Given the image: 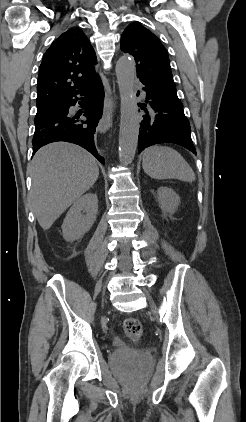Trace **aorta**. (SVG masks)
Masks as SVG:
<instances>
[{"label":"aorta","mask_w":246,"mask_h":422,"mask_svg":"<svg viewBox=\"0 0 246 422\" xmlns=\"http://www.w3.org/2000/svg\"><path fill=\"white\" fill-rule=\"evenodd\" d=\"M135 61L129 56H122L116 63V77L121 98V116L119 131V157L123 165L132 163L140 128V117L134 90Z\"/></svg>","instance_id":"762f6f07"}]
</instances>
